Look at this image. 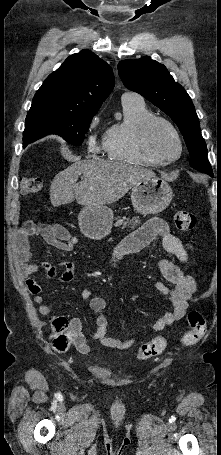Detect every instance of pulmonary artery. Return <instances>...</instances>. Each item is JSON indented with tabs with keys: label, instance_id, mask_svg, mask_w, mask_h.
<instances>
[{
	"label": "pulmonary artery",
	"instance_id": "obj_1",
	"mask_svg": "<svg viewBox=\"0 0 221 455\" xmlns=\"http://www.w3.org/2000/svg\"><path fill=\"white\" fill-rule=\"evenodd\" d=\"M122 99H134V100H138V101H143V98L139 94L134 93V92L123 93Z\"/></svg>",
	"mask_w": 221,
	"mask_h": 455
}]
</instances>
